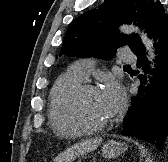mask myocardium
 <instances>
[{
    "label": "myocardium",
    "mask_w": 168,
    "mask_h": 162,
    "mask_svg": "<svg viewBox=\"0 0 168 162\" xmlns=\"http://www.w3.org/2000/svg\"><path fill=\"white\" fill-rule=\"evenodd\" d=\"M100 90L92 84H81L73 89L64 102V112L67 117L85 132H94L106 129L111 121L100 124H91L85 120L80 111V101L89 92H99Z\"/></svg>",
    "instance_id": "1"
}]
</instances>
